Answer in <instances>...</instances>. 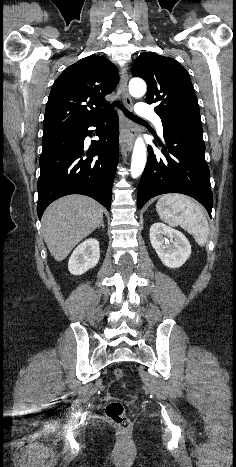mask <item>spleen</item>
<instances>
[{
	"mask_svg": "<svg viewBox=\"0 0 236 467\" xmlns=\"http://www.w3.org/2000/svg\"><path fill=\"white\" fill-rule=\"evenodd\" d=\"M156 210L165 223L181 226L193 235L198 245H205L209 224L202 207L194 200L181 194H165L159 198Z\"/></svg>",
	"mask_w": 236,
	"mask_h": 467,
	"instance_id": "1",
	"label": "spleen"
}]
</instances>
